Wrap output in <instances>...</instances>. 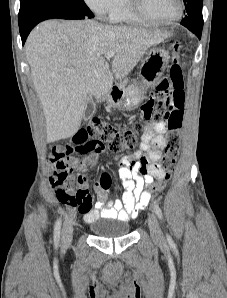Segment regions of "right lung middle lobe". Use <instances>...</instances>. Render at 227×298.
<instances>
[{
    "mask_svg": "<svg viewBox=\"0 0 227 298\" xmlns=\"http://www.w3.org/2000/svg\"><path fill=\"white\" fill-rule=\"evenodd\" d=\"M50 10L93 16L84 0H21L18 22L22 24L40 12Z\"/></svg>",
    "mask_w": 227,
    "mask_h": 298,
    "instance_id": "obj_1",
    "label": "right lung middle lobe"
}]
</instances>
